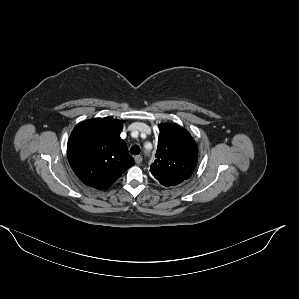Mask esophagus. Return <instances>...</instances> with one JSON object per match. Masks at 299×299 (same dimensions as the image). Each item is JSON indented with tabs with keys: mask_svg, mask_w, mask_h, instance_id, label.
Segmentation results:
<instances>
[{
	"mask_svg": "<svg viewBox=\"0 0 299 299\" xmlns=\"http://www.w3.org/2000/svg\"><path fill=\"white\" fill-rule=\"evenodd\" d=\"M136 164H140L143 160L142 156L137 155L134 157Z\"/></svg>",
	"mask_w": 299,
	"mask_h": 299,
	"instance_id": "esophagus-1",
	"label": "esophagus"
}]
</instances>
